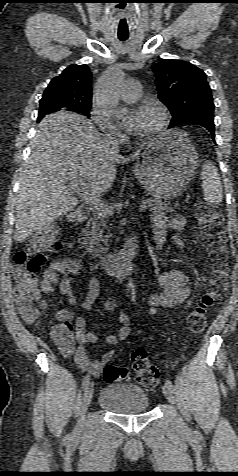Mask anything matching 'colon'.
I'll return each mask as SVG.
<instances>
[{"label":"colon","mask_w":238,"mask_h":476,"mask_svg":"<svg viewBox=\"0 0 238 476\" xmlns=\"http://www.w3.org/2000/svg\"><path fill=\"white\" fill-rule=\"evenodd\" d=\"M197 219L201 229V238L205 251L214 263L210 274L209 287L197 305L189 313L187 327L192 333H201L206 325L208 309L221 299L228 290L227 279V248L223 219L220 214L202 207ZM58 228L49 225L38 231L26 250L18 251L12 263L14 292L19 311L24 319L35 323L39 317L37 273L51 255L59 251ZM132 368L136 373V382L146 389H153L159 379L158 369L149 361L147 352L137 348L131 353ZM106 382L128 381V368L107 365L102 371Z\"/></svg>","instance_id":"1"}]
</instances>
